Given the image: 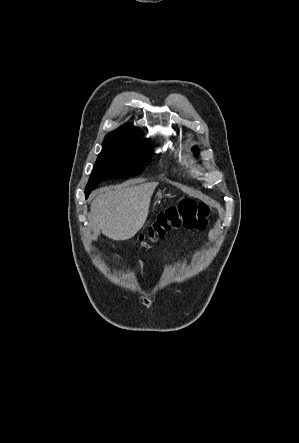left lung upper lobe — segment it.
I'll return each mask as SVG.
<instances>
[{"instance_id":"1","label":"left lung upper lobe","mask_w":299,"mask_h":443,"mask_svg":"<svg viewBox=\"0 0 299 443\" xmlns=\"http://www.w3.org/2000/svg\"><path fill=\"white\" fill-rule=\"evenodd\" d=\"M194 151H195V153H194V154H195V155H197L198 153L196 152V149H194Z\"/></svg>"}]
</instances>
